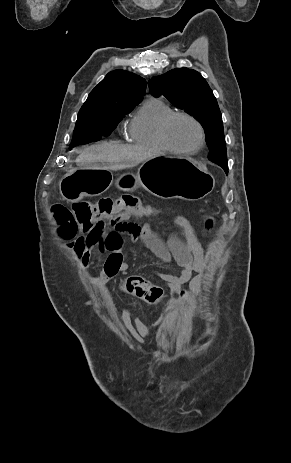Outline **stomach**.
Listing matches in <instances>:
<instances>
[{"mask_svg":"<svg viewBox=\"0 0 291 463\" xmlns=\"http://www.w3.org/2000/svg\"><path fill=\"white\" fill-rule=\"evenodd\" d=\"M138 184L151 194L163 198L195 201L207 196L214 188L213 176L189 157L159 155L145 161L139 168ZM109 171L99 168H81L68 173L59 183L62 197L70 202L85 195H99L110 188ZM125 177L116 181L124 189L136 185Z\"/></svg>","mask_w":291,"mask_h":463,"instance_id":"obj_1","label":"stomach"}]
</instances>
